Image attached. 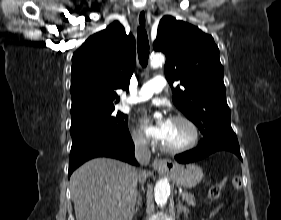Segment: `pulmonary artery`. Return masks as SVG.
I'll use <instances>...</instances> for the list:
<instances>
[{
    "instance_id": "e3ab8cb5",
    "label": "pulmonary artery",
    "mask_w": 281,
    "mask_h": 220,
    "mask_svg": "<svg viewBox=\"0 0 281 220\" xmlns=\"http://www.w3.org/2000/svg\"><path fill=\"white\" fill-rule=\"evenodd\" d=\"M166 86V80L162 76H156L146 82L137 95L130 99V102H144L151 99L154 95L159 94Z\"/></svg>"
}]
</instances>
